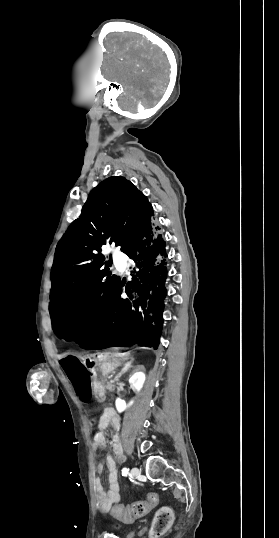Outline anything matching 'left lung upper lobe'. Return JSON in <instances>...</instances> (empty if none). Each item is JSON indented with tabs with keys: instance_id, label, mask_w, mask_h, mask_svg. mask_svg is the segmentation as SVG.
<instances>
[{
	"instance_id": "5c2ea615",
	"label": "left lung upper lobe",
	"mask_w": 279,
	"mask_h": 538,
	"mask_svg": "<svg viewBox=\"0 0 279 538\" xmlns=\"http://www.w3.org/2000/svg\"><path fill=\"white\" fill-rule=\"evenodd\" d=\"M153 215L146 196L123 177H110L90 192L54 255L50 313L59 338L69 332L91 336L105 322L121 283L111 276L101 247L113 243L126 253L154 226Z\"/></svg>"
}]
</instances>
